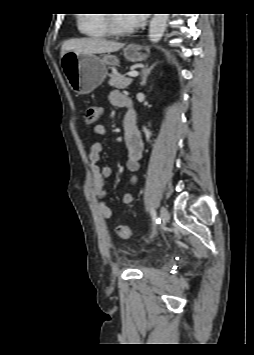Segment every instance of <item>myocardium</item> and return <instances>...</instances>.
<instances>
[{
  "instance_id": "obj_1",
  "label": "myocardium",
  "mask_w": 254,
  "mask_h": 355,
  "mask_svg": "<svg viewBox=\"0 0 254 355\" xmlns=\"http://www.w3.org/2000/svg\"><path fill=\"white\" fill-rule=\"evenodd\" d=\"M105 15H106V26L110 35L120 37V36H127L133 33L132 28L122 29L118 27L116 23V17L114 14H105Z\"/></svg>"
}]
</instances>
